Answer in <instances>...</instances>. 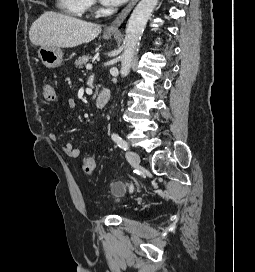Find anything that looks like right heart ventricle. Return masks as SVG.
Wrapping results in <instances>:
<instances>
[{"instance_id": "right-heart-ventricle-1", "label": "right heart ventricle", "mask_w": 255, "mask_h": 272, "mask_svg": "<svg viewBox=\"0 0 255 272\" xmlns=\"http://www.w3.org/2000/svg\"><path fill=\"white\" fill-rule=\"evenodd\" d=\"M57 7L71 16H81L87 9L86 0H57Z\"/></svg>"}]
</instances>
